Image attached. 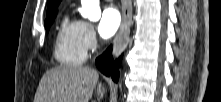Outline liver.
Wrapping results in <instances>:
<instances>
[{"mask_svg": "<svg viewBox=\"0 0 221 102\" xmlns=\"http://www.w3.org/2000/svg\"><path fill=\"white\" fill-rule=\"evenodd\" d=\"M99 74L96 70L82 66H63L47 71L39 83L34 102H89ZM99 83L97 100L105 94Z\"/></svg>", "mask_w": 221, "mask_h": 102, "instance_id": "obj_1", "label": "liver"}]
</instances>
